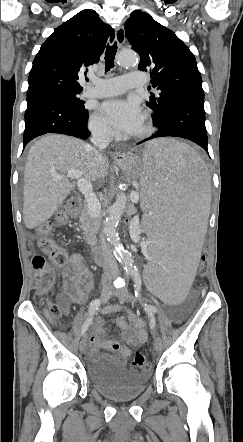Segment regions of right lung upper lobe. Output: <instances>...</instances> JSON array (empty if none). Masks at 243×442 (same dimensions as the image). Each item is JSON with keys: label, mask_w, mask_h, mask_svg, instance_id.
I'll return each mask as SVG.
<instances>
[{"label": "right lung upper lobe", "mask_w": 243, "mask_h": 442, "mask_svg": "<svg viewBox=\"0 0 243 442\" xmlns=\"http://www.w3.org/2000/svg\"><path fill=\"white\" fill-rule=\"evenodd\" d=\"M114 30L95 11L82 10L42 44L29 74L27 94L44 90L82 91L79 79L97 63Z\"/></svg>", "instance_id": "right-lung-upper-lobe-1"}]
</instances>
